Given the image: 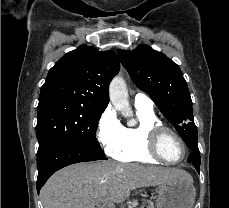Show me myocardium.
<instances>
[{
	"label": "myocardium",
	"instance_id": "myocardium-1",
	"mask_svg": "<svg viewBox=\"0 0 229 208\" xmlns=\"http://www.w3.org/2000/svg\"><path fill=\"white\" fill-rule=\"evenodd\" d=\"M166 132H172L174 133L172 135V138L174 139V143H178V147H185V154L183 156L182 159L180 160H165V157H163L162 152H159V139H162L163 135ZM148 136H149V140L150 143L148 144V149L147 152L148 153H152L151 157L152 158H159L161 159L163 162L167 163V164H172V165H176V164H180L182 162H184L189 154V147L188 144L186 142V140L184 139V137L174 128L165 126V125H155L152 126L149 130H148ZM182 141V142H181Z\"/></svg>",
	"mask_w": 229,
	"mask_h": 208
}]
</instances>
